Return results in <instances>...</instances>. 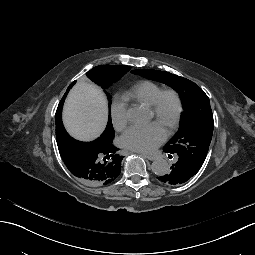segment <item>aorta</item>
I'll list each match as a JSON object with an SVG mask.
<instances>
[{"mask_svg": "<svg viewBox=\"0 0 255 255\" xmlns=\"http://www.w3.org/2000/svg\"><path fill=\"white\" fill-rule=\"evenodd\" d=\"M127 116L132 122H141L146 118V112L141 107L135 106L128 109ZM151 169L157 176H162L169 172L170 166L167 160L159 158L152 162Z\"/></svg>", "mask_w": 255, "mask_h": 255, "instance_id": "762f6f07", "label": "aorta"}]
</instances>
